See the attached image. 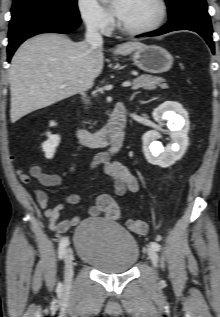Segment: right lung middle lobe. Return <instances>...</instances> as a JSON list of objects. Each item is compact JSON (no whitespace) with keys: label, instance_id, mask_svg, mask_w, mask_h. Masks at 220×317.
<instances>
[{"label":"right lung middle lobe","instance_id":"dd1d6c3e","mask_svg":"<svg viewBox=\"0 0 220 317\" xmlns=\"http://www.w3.org/2000/svg\"><path fill=\"white\" fill-rule=\"evenodd\" d=\"M40 12L58 13L72 18L80 17L77 0H14L11 20Z\"/></svg>","mask_w":220,"mask_h":317}]
</instances>
